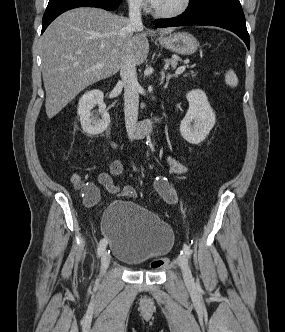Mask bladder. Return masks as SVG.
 I'll return each mask as SVG.
<instances>
[{"label":"bladder","mask_w":285,"mask_h":332,"mask_svg":"<svg viewBox=\"0 0 285 332\" xmlns=\"http://www.w3.org/2000/svg\"><path fill=\"white\" fill-rule=\"evenodd\" d=\"M102 233L111 255L131 266L165 253L173 244L172 230L165 222L142 206L126 201H116L107 207Z\"/></svg>","instance_id":"obj_1"}]
</instances>
